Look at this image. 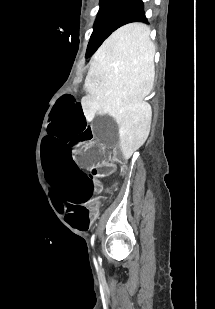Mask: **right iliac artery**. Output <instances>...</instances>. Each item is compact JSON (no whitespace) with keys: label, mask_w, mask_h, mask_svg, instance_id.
<instances>
[{"label":"right iliac artery","mask_w":215,"mask_h":309,"mask_svg":"<svg viewBox=\"0 0 215 309\" xmlns=\"http://www.w3.org/2000/svg\"><path fill=\"white\" fill-rule=\"evenodd\" d=\"M94 239H95V235H93L92 237H91V244L93 245V243H94Z\"/></svg>","instance_id":"1"}]
</instances>
